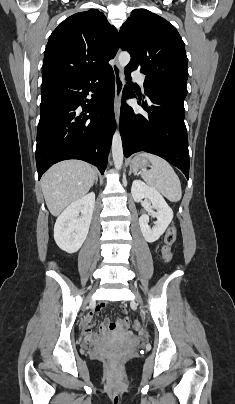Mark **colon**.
Masks as SVG:
<instances>
[{
  "instance_id": "1",
  "label": "colon",
  "mask_w": 235,
  "mask_h": 404,
  "mask_svg": "<svg viewBox=\"0 0 235 404\" xmlns=\"http://www.w3.org/2000/svg\"><path fill=\"white\" fill-rule=\"evenodd\" d=\"M176 237H177V228H176V226L174 224H171L169 226V228L167 229V231H166V234H165V237H164V244H163V247H162V255H163L164 260L167 263H169L171 261V259H172L171 249H172V246H173V244H174V242L176 240ZM119 322H120L121 325H123L125 327L130 326V321H129V319L127 317L121 319ZM115 326H116L115 323H110L108 325V327L110 329H113ZM131 327L134 330H138L140 328V325H139L138 322H133L131 324ZM108 359L110 361H114V358H112V357H109Z\"/></svg>"
}]
</instances>
